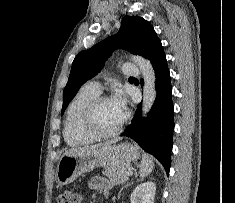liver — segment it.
<instances>
[{"label": "liver", "mask_w": 235, "mask_h": 203, "mask_svg": "<svg viewBox=\"0 0 235 203\" xmlns=\"http://www.w3.org/2000/svg\"><path fill=\"white\" fill-rule=\"evenodd\" d=\"M117 141H118V139H114V140H110V141L95 144V145H87V146L80 147V148H72V149H69L68 151H66L64 155L73 154V153H76L78 151L95 150V149H98V148H102V147H105V146L115 144Z\"/></svg>", "instance_id": "6515ba94"}]
</instances>
